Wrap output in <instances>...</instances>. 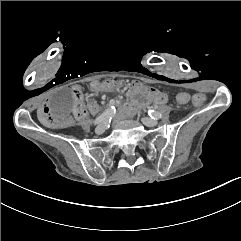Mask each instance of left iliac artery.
<instances>
[{
  "label": "left iliac artery",
  "mask_w": 241,
  "mask_h": 241,
  "mask_svg": "<svg viewBox=\"0 0 241 241\" xmlns=\"http://www.w3.org/2000/svg\"><path fill=\"white\" fill-rule=\"evenodd\" d=\"M148 114L149 116L152 118V119H159L162 117L161 113L155 111V110H149L148 111Z\"/></svg>",
  "instance_id": "44dca946"
}]
</instances>
